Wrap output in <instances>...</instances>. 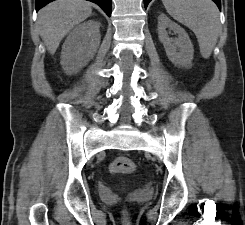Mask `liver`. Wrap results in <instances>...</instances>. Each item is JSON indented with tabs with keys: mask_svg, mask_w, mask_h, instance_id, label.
I'll list each match as a JSON object with an SVG mask.
<instances>
[{
	"mask_svg": "<svg viewBox=\"0 0 245 225\" xmlns=\"http://www.w3.org/2000/svg\"><path fill=\"white\" fill-rule=\"evenodd\" d=\"M91 14V4L84 0H56L43 7L38 26L49 53L54 54L61 40Z\"/></svg>",
	"mask_w": 245,
	"mask_h": 225,
	"instance_id": "1",
	"label": "liver"
}]
</instances>
